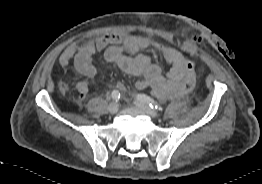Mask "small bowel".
I'll use <instances>...</instances> for the list:
<instances>
[{
    "mask_svg": "<svg viewBox=\"0 0 262 184\" xmlns=\"http://www.w3.org/2000/svg\"><path fill=\"white\" fill-rule=\"evenodd\" d=\"M190 40L195 45L203 46L207 39L205 36L194 33ZM159 48L164 59L171 64L166 76L158 65L153 63L150 58L142 54L146 48ZM165 49H173V57L165 56ZM98 52H104L107 62L116 65L120 70L127 74L142 76L137 80L135 87L138 90L151 88L153 93L159 98L181 96L180 89L186 79L185 67L187 58L178 50L170 46H161L154 40L128 34L110 33L102 36L96 41H88L79 48L75 45L68 46L59 57V63L66 66L74 63L77 72L85 77H94L98 70L92 64V57ZM79 92L78 101L83 102L88 93V84L80 81L77 84ZM188 93V92H187Z\"/></svg>",
    "mask_w": 262,
    "mask_h": 184,
    "instance_id": "c3829d8e",
    "label": "small bowel"
}]
</instances>
